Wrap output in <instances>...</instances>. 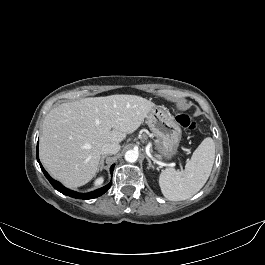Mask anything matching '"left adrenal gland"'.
I'll list each match as a JSON object with an SVG mask.
<instances>
[{"mask_svg": "<svg viewBox=\"0 0 265 265\" xmlns=\"http://www.w3.org/2000/svg\"><path fill=\"white\" fill-rule=\"evenodd\" d=\"M146 159H147V161H148V169L149 168H153L154 169V165L152 164V162H151V160L148 158V157H146Z\"/></svg>", "mask_w": 265, "mask_h": 265, "instance_id": "left-adrenal-gland-1", "label": "left adrenal gland"}]
</instances>
